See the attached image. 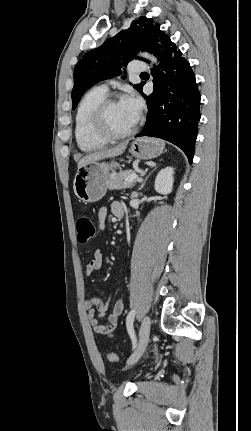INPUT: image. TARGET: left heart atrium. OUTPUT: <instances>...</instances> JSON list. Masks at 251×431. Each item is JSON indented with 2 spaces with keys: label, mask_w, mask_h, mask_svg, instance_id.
<instances>
[{
  "label": "left heart atrium",
  "mask_w": 251,
  "mask_h": 431,
  "mask_svg": "<svg viewBox=\"0 0 251 431\" xmlns=\"http://www.w3.org/2000/svg\"><path fill=\"white\" fill-rule=\"evenodd\" d=\"M120 103L127 108L137 119L142 110V100L134 93L129 92L121 100Z\"/></svg>",
  "instance_id": "left-heart-atrium-1"
}]
</instances>
